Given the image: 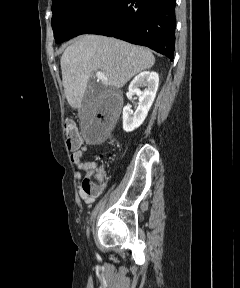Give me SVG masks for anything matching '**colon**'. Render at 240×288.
<instances>
[{"instance_id":"obj_1","label":"colon","mask_w":240,"mask_h":288,"mask_svg":"<svg viewBox=\"0 0 240 288\" xmlns=\"http://www.w3.org/2000/svg\"><path fill=\"white\" fill-rule=\"evenodd\" d=\"M64 131L67 139V146L69 150L78 149L82 144L81 136L74 122L66 121L64 124ZM102 188V177L98 173L87 174L83 183L82 190L87 196L97 195Z\"/></svg>"}]
</instances>
